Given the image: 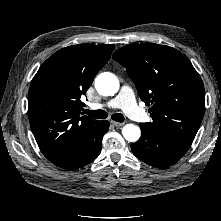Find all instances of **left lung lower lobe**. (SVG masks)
I'll return each mask as SVG.
<instances>
[{
  "label": "left lung lower lobe",
  "mask_w": 221,
  "mask_h": 221,
  "mask_svg": "<svg viewBox=\"0 0 221 221\" xmlns=\"http://www.w3.org/2000/svg\"><path fill=\"white\" fill-rule=\"evenodd\" d=\"M141 138L131 145L133 154L148 165L165 168L176 163L192 141L177 134L140 123Z\"/></svg>",
  "instance_id": "1"
}]
</instances>
